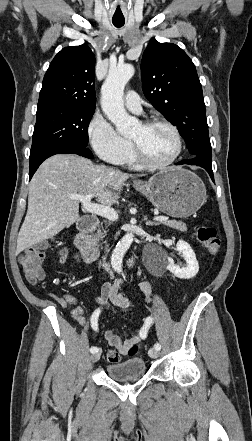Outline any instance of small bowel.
Instances as JSON below:
<instances>
[{
  "label": "small bowel",
  "mask_w": 252,
  "mask_h": 441,
  "mask_svg": "<svg viewBox=\"0 0 252 441\" xmlns=\"http://www.w3.org/2000/svg\"><path fill=\"white\" fill-rule=\"evenodd\" d=\"M60 261L64 263L66 261V253L63 252ZM123 280H116L113 283H104L101 287L100 294L96 297V303L98 304L100 311L108 309L110 306L127 307L130 306V300L123 295L119 289L123 285ZM140 288L146 296V302H150L151 285L146 280L140 282ZM54 301H56L62 307L71 306V317L82 327L89 331H92L91 322L88 323L84 309L79 305V300L71 294L52 295ZM94 330V329H93ZM104 339L110 347L115 348L120 354H128L130 348L141 342L139 335H134L122 340L112 330H107L104 333Z\"/></svg>",
  "instance_id": "small-bowel-1"
}]
</instances>
